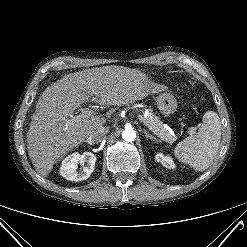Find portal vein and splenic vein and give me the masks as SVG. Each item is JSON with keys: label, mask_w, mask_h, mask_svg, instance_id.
Returning a JSON list of instances; mask_svg holds the SVG:
<instances>
[{"label": "portal vein and splenic vein", "mask_w": 247, "mask_h": 247, "mask_svg": "<svg viewBox=\"0 0 247 247\" xmlns=\"http://www.w3.org/2000/svg\"><path fill=\"white\" fill-rule=\"evenodd\" d=\"M93 114V110L89 109V108H86V109H83L82 112L73 117L70 121H74V122H81L83 121L84 119L88 118L89 116H91ZM138 118L141 122L144 123L145 119L142 115L138 114Z\"/></svg>", "instance_id": "obj_1"}]
</instances>
